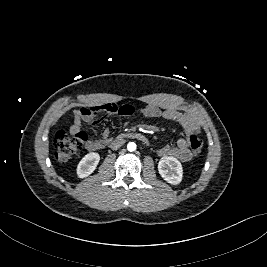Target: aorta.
Wrapping results in <instances>:
<instances>
[{
  "instance_id": "obj_1",
  "label": "aorta",
  "mask_w": 267,
  "mask_h": 267,
  "mask_svg": "<svg viewBox=\"0 0 267 267\" xmlns=\"http://www.w3.org/2000/svg\"><path fill=\"white\" fill-rule=\"evenodd\" d=\"M127 149L130 152L135 151L136 150V144L134 142H129L128 145H127Z\"/></svg>"
}]
</instances>
